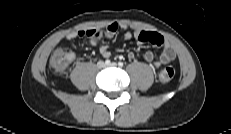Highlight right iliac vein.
<instances>
[{
  "label": "right iliac vein",
  "mask_w": 231,
  "mask_h": 134,
  "mask_svg": "<svg viewBox=\"0 0 231 134\" xmlns=\"http://www.w3.org/2000/svg\"><path fill=\"white\" fill-rule=\"evenodd\" d=\"M97 67L100 68V69H102V68L105 67V63H104L103 61H99V62L97 63Z\"/></svg>",
  "instance_id": "obj_1"
}]
</instances>
